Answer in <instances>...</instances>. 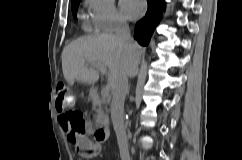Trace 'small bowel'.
<instances>
[{"mask_svg":"<svg viewBox=\"0 0 242 160\" xmlns=\"http://www.w3.org/2000/svg\"><path fill=\"white\" fill-rule=\"evenodd\" d=\"M60 123L62 131L66 134L67 141L76 147L77 152L83 157H91L88 155V152L93 148L94 144L89 139L91 133L90 123L86 122V129L82 134L72 133L68 124L61 118Z\"/></svg>","mask_w":242,"mask_h":160,"instance_id":"1","label":"small bowel"}]
</instances>
